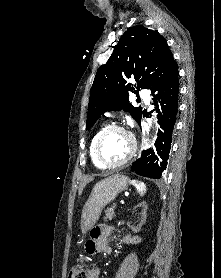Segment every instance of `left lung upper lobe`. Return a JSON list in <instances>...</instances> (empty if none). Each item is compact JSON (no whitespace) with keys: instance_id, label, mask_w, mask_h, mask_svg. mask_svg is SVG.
Wrapping results in <instances>:
<instances>
[{"instance_id":"obj_1","label":"left lung upper lobe","mask_w":221,"mask_h":278,"mask_svg":"<svg viewBox=\"0 0 221 278\" xmlns=\"http://www.w3.org/2000/svg\"><path fill=\"white\" fill-rule=\"evenodd\" d=\"M172 59L166 40L157 30L142 25L128 28L107 63L97 71L90 90L86 129L102 113L122 109L129 111L140 124L142 108L129 103V91L134 88L128 79H135L138 90L149 89Z\"/></svg>"}]
</instances>
